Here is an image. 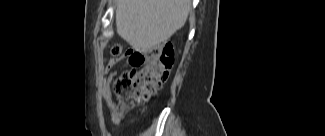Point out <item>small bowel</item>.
<instances>
[{"label": "small bowel", "mask_w": 325, "mask_h": 136, "mask_svg": "<svg viewBox=\"0 0 325 136\" xmlns=\"http://www.w3.org/2000/svg\"><path fill=\"white\" fill-rule=\"evenodd\" d=\"M125 53L126 55L124 57L129 60L132 65L128 63L126 65L128 68L124 69V73H118L116 76H114L115 68L119 63L115 60H110L105 69L107 77L104 81V101L112 119L115 122H118L121 119L122 114L117 110L112 98H121L125 88L130 87L133 74L136 73V70L134 69L145 68L146 58L144 55L147 54V49L141 48L139 53L137 45L131 44L130 48H126ZM130 66H132V68H129ZM110 90H112V93Z\"/></svg>", "instance_id": "c3829d8e"}]
</instances>
